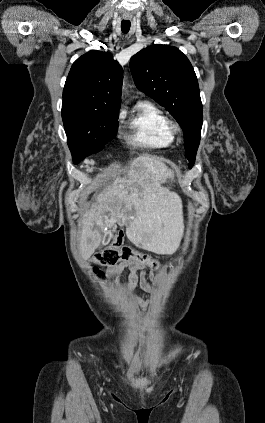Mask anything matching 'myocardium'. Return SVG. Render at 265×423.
<instances>
[{"label": "myocardium", "instance_id": "1", "mask_svg": "<svg viewBox=\"0 0 265 423\" xmlns=\"http://www.w3.org/2000/svg\"><path fill=\"white\" fill-rule=\"evenodd\" d=\"M167 127H168L169 132L173 136L180 134L181 131H182L181 125L177 121H174V120H168Z\"/></svg>", "mask_w": 265, "mask_h": 423}]
</instances>
